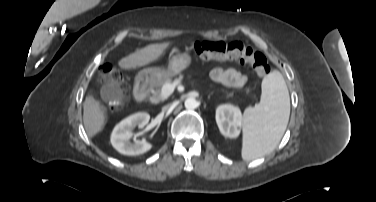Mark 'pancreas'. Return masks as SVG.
Masks as SVG:
<instances>
[{"label":"pancreas","instance_id":"obj_1","mask_svg":"<svg viewBox=\"0 0 376 202\" xmlns=\"http://www.w3.org/2000/svg\"><path fill=\"white\" fill-rule=\"evenodd\" d=\"M179 80L183 79V75H180ZM172 78L170 76L161 77L153 82L150 83V91L152 93V96H150V101L152 103H159L161 101H164L166 97H164L161 94V89L164 84L171 83Z\"/></svg>","mask_w":376,"mask_h":202}]
</instances>
